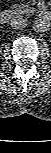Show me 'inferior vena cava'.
<instances>
[{
  "label": "inferior vena cava",
  "mask_w": 51,
  "mask_h": 153,
  "mask_svg": "<svg viewBox=\"0 0 51 153\" xmlns=\"http://www.w3.org/2000/svg\"><path fill=\"white\" fill-rule=\"evenodd\" d=\"M27 18L24 17V16H14L12 19H11V26L15 29H22L24 27L27 26Z\"/></svg>",
  "instance_id": "1"
}]
</instances>
